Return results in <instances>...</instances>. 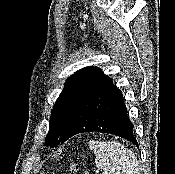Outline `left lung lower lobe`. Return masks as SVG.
Here are the masks:
<instances>
[{
  "label": "left lung lower lobe",
  "mask_w": 175,
  "mask_h": 174,
  "mask_svg": "<svg viewBox=\"0 0 175 174\" xmlns=\"http://www.w3.org/2000/svg\"><path fill=\"white\" fill-rule=\"evenodd\" d=\"M93 131L120 136L138 147L122 92L114 86L111 78L79 101L69 119L62 143L76 134Z\"/></svg>",
  "instance_id": "left-lung-lower-lobe-1"
}]
</instances>
